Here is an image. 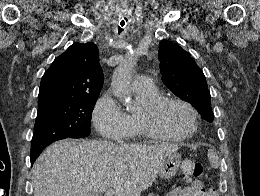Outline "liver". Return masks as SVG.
<instances>
[{
    "instance_id": "obj_1",
    "label": "liver",
    "mask_w": 260,
    "mask_h": 196,
    "mask_svg": "<svg viewBox=\"0 0 260 196\" xmlns=\"http://www.w3.org/2000/svg\"><path fill=\"white\" fill-rule=\"evenodd\" d=\"M179 146H136L113 142L59 140L32 168L34 196H141L151 188L168 156Z\"/></svg>"
}]
</instances>
